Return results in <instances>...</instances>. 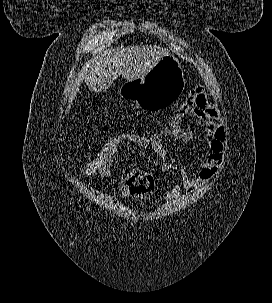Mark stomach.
I'll return each mask as SVG.
<instances>
[{
    "instance_id": "stomach-1",
    "label": "stomach",
    "mask_w": 272,
    "mask_h": 303,
    "mask_svg": "<svg viewBox=\"0 0 272 303\" xmlns=\"http://www.w3.org/2000/svg\"><path fill=\"white\" fill-rule=\"evenodd\" d=\"M185 88V78L179 60L165 55L147 75L124 83L119 94L142 109L156 110L177 100Z\"/></svg>"
}]
</instances>
